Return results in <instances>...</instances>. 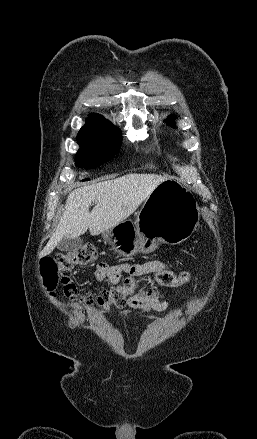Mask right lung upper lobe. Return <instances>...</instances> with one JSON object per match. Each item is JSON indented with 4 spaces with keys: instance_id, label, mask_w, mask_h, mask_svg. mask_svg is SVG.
Wrapping results in <instances>:
<instances>
[{
    "instance_id": "obj_1",
    "label": "right lung upper lobe",
    "mask_w": 257,
    "mask_h": 439,
    "mask_svg": "<svg viewBox=\"0 0 257 439\" xmlns=\"http://www.w3.org/2000/svg\"><path fill=\"white\" fill-rule=\"evenodd\" d=\"M87 120H102L105 122H109L107 119L102 118V116L99 114H90V117Z\"/></svg>"
}]
</instances>
